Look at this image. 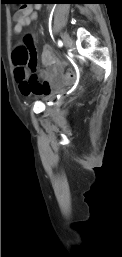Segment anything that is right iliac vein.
<instances>
[{
    "label": "right iliac vein",
    "instance_id": "right-iliac-vein-1",
    "mask_svg": "<svg viewBox=\"0 0 122 257\" xmlns=\"http://www.w3.org/2000/svg\"><path fill=\"white\" fill-rule=\"evenodd\" d=\"M62 39H63L65 47H69L71 44V39H70L69 35L67 33H63Z\"/></svg>",
    "mask_w": 122,
    "mask_h": 257
}]
</instances>
